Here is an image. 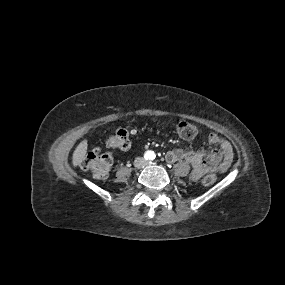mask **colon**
<instances>
[{
  "label": "colon",
  "mask_w": 285,
  "mask_h": 285,
  "mask_svg": "<svg viewBox=\"0 0 285 285\" xmlns=\"http://www.w3.org/2000/svg\"><path fill=\"white\" fill-rule=\"evenodd\" d=\"M177 131L181 138L192 140L197 135V127L188 122L181 121L177 125ZM106 144L109 147L125 150L130 146V134L124 127H116L112 135L107 139ZM112 164L111 156L103 152L100 148H95L88 152L81 162L84 171L89 172L96 179H105L110 171ZM216 175L213 173L206 174L202 183L206 186L214 184Z\"/></svg>",
  "instance_id": "1"
}]
</instances>
